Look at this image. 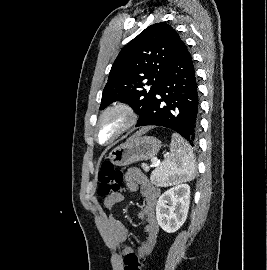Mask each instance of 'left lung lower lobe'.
Instances as JSON below:
<instances>
[{"label": "left lung lower lobe", "mask_w": 267, "mask_h": 270, "mask_svg": "<svg viewBox=\"0 0 267 270\" xmlns=\"http://www.w3.org/2000/svg\"><path fill=\"white\" fill-rule=\"evenodd\" d=\"M191 55L182 41L155 98L136 127L156 125L169 128L191 146L197 142L199 97Z\"/></svg>", "instance_id": "1"}]
</instances>
